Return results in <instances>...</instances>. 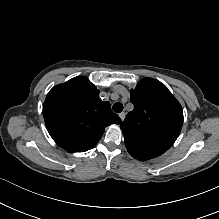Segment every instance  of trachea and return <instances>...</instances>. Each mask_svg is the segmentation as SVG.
Here are the masks:
<instances>
[{"mask_svg": "<svg viewBox=\"0 0 219 219\" xmlns=\"http://www.w3.org/2000/svg\"><path fill=\"white\" fill-rule=\"evenodd\" d=\"M113 111L116 113H121L123 111V105L120 102H116L113 107Z\"/></svg>", "mask_w": 219, "mask_h": 219, "instance_id": "obj_1", "label": "trachea"}]
</instances>
